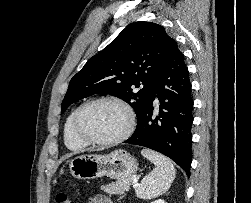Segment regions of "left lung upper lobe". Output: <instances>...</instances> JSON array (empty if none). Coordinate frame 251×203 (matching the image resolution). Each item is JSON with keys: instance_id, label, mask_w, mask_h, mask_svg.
Returning <instances> with one entry per match:
<instances>
[{"instance_id": "left-lung-upper-lobe-1", "label": "left lung upper lobe", "mask_w": 251, "mask_h": 203, "mask_svg": "<svg viewBox=\"0 0 251 203\" xmlns=\"http://www.w3.org/2000/svg\"><path fill=\"white\" fill-rule=\"evenodd\" d=\"M174 43L161 25L144 21L129 25L71 79L61 113L85 97L109 94L131 105L138 120Z\"/></svg>"}]
</instances>
